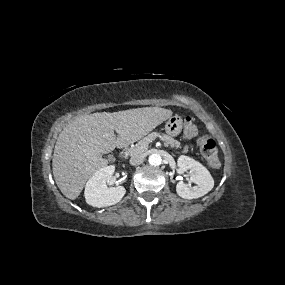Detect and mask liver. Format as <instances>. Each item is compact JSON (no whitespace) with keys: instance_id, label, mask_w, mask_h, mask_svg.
I'll list each match as a JSON object with an SVG mask.
<instances>
[{"instance_id":"6515ba94","label":"liver","mask_w":285,"mask_h":285,"mask_svg":"<svg viewBox=\"0 0 285 285\" xmlns=\"http://www.w3.org/2000/svg\"><path fill=\"white\" fill-rule=\"evenodd\" d=\"M172 113L165 108L143 107L74 118L60 132L52 159L54 179L62 194L76 199L86 181L108 165L101 154L138 141Z\"/></svg>"}]
</instances>
